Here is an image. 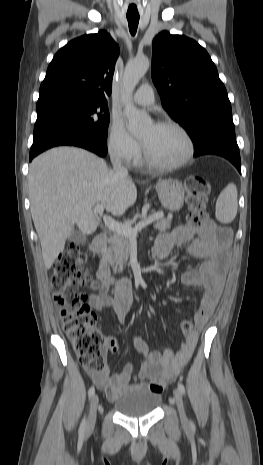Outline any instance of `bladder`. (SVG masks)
<instances>
[{"mask_svg": "<svg viewBox=\"0 0 263 465\" xmlns=\"http://www.w3.org/2000/svg\"><path fill=\"white\" fill-rule=\"evenodd\" d=\"M161 400L159 393L147 387H133L113 403V408L125 417L138 418L154 412Z\"/></svg>", "mask_w": 263, "mask_h": 465, "instance_id": "1", "label": "bladder"}]
</instances>
